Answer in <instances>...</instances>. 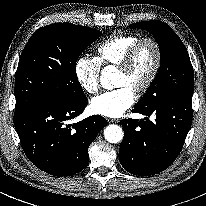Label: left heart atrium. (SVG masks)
<instances>
[{
	"label": "left heart atrium",
	"instance_id": "left-heart-atrium-1",
	"mask_svg": "<svg viewBox=\"0 0 206 206\" xmlns=\"http://www.w3.org/2000/svg\"><path fill=\"white\" fill-rule=\"evenodd\" d=\"M135 99L134 90L128 86H123L94 97L90 102V110L97 115L117 118L134 104Z\"/></svg>",
	"mask_w": 206,
	"mask_h": 206
}]
</instances>
